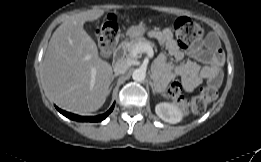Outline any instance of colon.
I'll return each mask as SVG.
<instances>
[{
    "mask_svg": "<svg viewBox=\"0 0 261 162\" xmlns=\"http://www.w3.org/2000/svg\"><path fill=\"white\" fill-rule=\"evenodd\" d=\"M173 31L178 42L186 46L188 42L199 39L203 34L202 27L187 17H179L173 23ZM99 47L103 56L109 57L121 34L118 18L111 14L102 22L98 30ZM216 86L213 84L203 87L200 93L194 96L190 103L182 97V86L179 82L173 81L168 86L165 96L183 108L188 105L196 114H201L206 110L207 104L216 97Z\"/></svg>",
    "mask_w": 261,
    "mask_h": 162,
    "instance_id": "colon-1",
    "label": "colon"
}]
</instances>
